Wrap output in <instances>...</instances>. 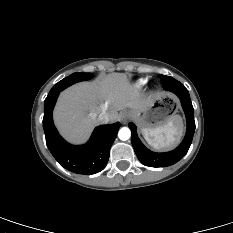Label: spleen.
Listing matches in <instances>:
<instances>
[{"label": "spleen", "mask_w": 233, "mask_h": 233, "mask_svg": "<svg viewBox=\"0 0 233 233\" xmlns=\"http://www.w3.org/2000/svg\"><path fill=\"white\" fill-rule=\"evenodd\" d=\"M182 127L181 117L174 115L162 126L142 129V134L151 147L161 150L173 146L179 140Z\"/></svg>", "instance_id": "3e777b00"}]
</instances>
